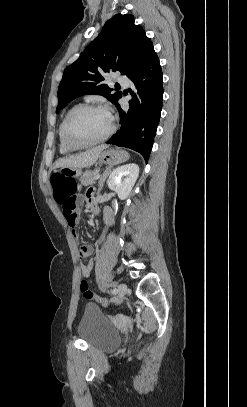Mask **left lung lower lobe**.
I'll use <instances>...</instances> for the list:
<instances>
[{
	"mask_svg": "<svg viewBox=\"0 0 247 407\" xmlns=\"http://www.w3.org/2000/svg\"><path fill=\"white\" fill-rule=\"evenodd\" d=\"M129 79L138 93H131L128 111H123L116 104L121 128L106 143L133 149L148 161L160 120L163 97V75L154 49Z\"/></svg>",
	"mask_w": 247,
	"mask_h": 407,
	"instance_id": "left-lung-lower-lobe-1",
	"label": "left lung lower lobe"
}]
</instances>
